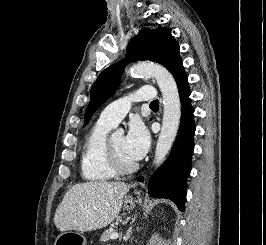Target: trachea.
<instances>
[{"mask_svg": "<svg viewBox=\"0 0 266 245\" xmlns=\"http://www.w3.org/2000/svg\"><path fill=\"white\" fill-rule=\"evenodd\" d=\"M158 104H159L158 100H153V102H151L150 105H158Z\"/></svg>", "mask_w": 266, "mask_h": 245, "instance_id": "1", "label": "trachea"}]
</instances>
